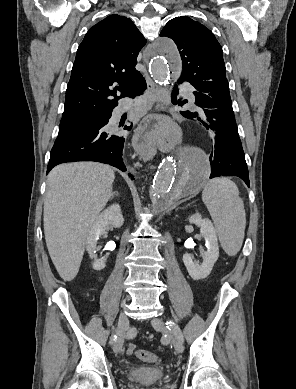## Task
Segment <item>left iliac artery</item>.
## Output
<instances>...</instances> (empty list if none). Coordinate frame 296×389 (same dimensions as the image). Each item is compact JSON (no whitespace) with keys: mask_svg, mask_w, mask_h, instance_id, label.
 I'll return each mask as SVG.
<instances>
[{"mask_svg":"<svg viewBox=\"0 0 296 389\" xmlns=\"http://www.w3.org/2000/svg\"><path fill=\"white\" fill-rule=\"evenodd\" d=\"M166 325H167V328L169 330H172L178 338H180L182 341L184 340L183 334H182V332L177 324H175L172 321H167Z\"/></svg>","mask_w":296,"mask_h":389,"instance_id":"obj_1","label":"left iliac artery"}]
</instances>
